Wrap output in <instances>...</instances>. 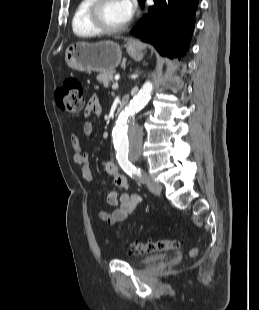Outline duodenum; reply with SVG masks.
Returning a JSON list of instances; mask_svg holds the SVG:
<instances>
[{"label":"duodenum","mask_w":259,"mask_h":310,"mask_svg":"<svg viewBox=\"0 0 259 310\" xmlns=\"http://www.w3.org/2000/svg\"><path fill=\"white\" fill-rule=\"evenodd\" d=\"M128 102H129V98L128 97H123L121 99L120 105H119V111L120 112L123 111L126 108Z\"/></svg>","instance_id":"1"}]
</instances>
